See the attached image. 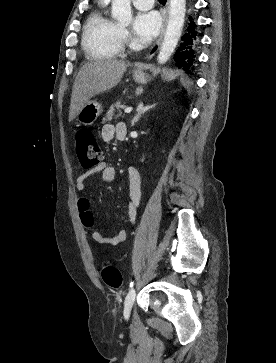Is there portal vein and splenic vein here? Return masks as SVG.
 I'll return each mask as SVG.
<instances>
[{"label": "portal vein and splenic vein", "instance_id": "portal-vein-and-splenic-vein-1", "mask_svg": "<svg viewBox=\"0 0 276 363\" xmlns=\"http://www.w3.org/2000/svg\"><path fill=\"white\" fill-rule=\"evenodd\" d=\"M132 107H126L125 109H124V112L125 113H130L131 111H132Z\"/></svg>", "mask_w": 276, "mask_h": 363}]
</instances>
